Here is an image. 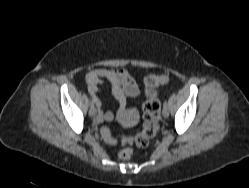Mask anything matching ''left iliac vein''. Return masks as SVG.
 <instances>
[{"label":"left iliac vein","instance_id":"obj_1","mask_svg":"<svg viewBox=\"0 0 249 188\" xmlns=\"http://www.w3.org/2000/svg\"><path fill=\"white\" fill-rule=\"evenodd\" d=\"M162 115L164 118H167L169 116V110H168V107H163V110H162Z\"/></svg>","mask_w":249,"mask_h":188}]
</instances>
